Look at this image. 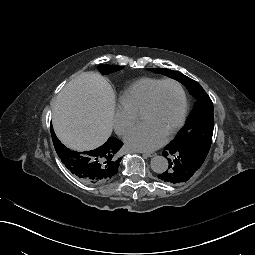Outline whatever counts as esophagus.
I'll return each mask as SVG.
<instances>
[{
  "instance_id": "34e87169",
  "label": "esophagus",
  "mask_w": 255,
  "mask_h": 255,
  "mask_svg": "<svg viewBox=\"0 0 255 255\" xmlns=\"http://www.w3.org/2000/svg\"><path fill=\"white\" fill-rule=\"evenodd\" d=\"M136 152L141 153L140 151H136ZM144 155L147 156V157H153V156L156 155V153H154V152H146V153H144Z\"/></svg>"
}]
</instances>
